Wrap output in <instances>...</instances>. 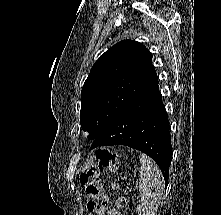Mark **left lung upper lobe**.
Here are the masks:
<instances>
[{"mask_svg": "<svg viewBox=\"0 0 221 215\" xmlns=\"http://www.w3.org/2000/svg\"><path fill=\"white\" fill-rule=\"evenodd\" d=\"M157 82L144 45L123 40L109 48L93 65L81 92L80 123L88 139L102 134Z\"/></svg>", "mask_w": 221, "mask_h": 215, "instance_id": "5c2ea615", "label": "left lung upper lobe"}]
</instances>
